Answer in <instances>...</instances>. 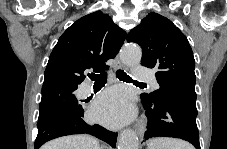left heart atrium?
I'll list each match as a JSON object with an SVG mask.
<instances>
[{
	"mask_svg": "<svg viewBox=\"0 0 227 149\" xmlns=\"http://www.w3.org/2000/svg\"><path fill=\"white\" fill-rule=\"evenodd\" d=\"M134 114L130 99L121 88H111L96 100L91 115L94 119L110 126H120L128 122Z\"/></svg>",
	"mask_w": 227,
	"mask_h": 149,
	"instance_id": "1",
	"label": "left heart atrium"
}]
</instances>
